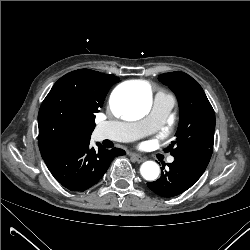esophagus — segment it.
<instances>
[{
    "label": "esophagus",
    "instance_id": "34e87169",
    "mask_svg": "<svg viewBox=\"0 0 250 250\" xmlns=\"http://www.w3.org/2000/svg\"><path fill=\"white\" fill-rule=\"evenodd\" d=\"M130 156L132 159H134L136 162H139V163L145 160L142 156L135 154V153H131Z\"/></svg>",
    "mask_w": 250,
    "mask_h": 250
}]
</instances>
